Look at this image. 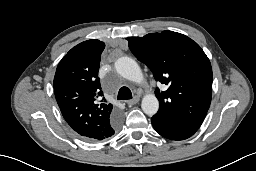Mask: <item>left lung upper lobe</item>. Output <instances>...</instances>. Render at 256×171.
I'll list each match as a JSON object with an SVG mask.
<instances>
[{
	"label": "left lung upper lobe",
	"instance_id": "obj_1",
	"mask_svg": "<svg viewBox=\"0 0 256 171\" xmlns=\"http://www.w3.org/2000/svg\"><path fill=\"white\" fill-rule=\"evenodd\" d=\"M127 40L135 57L167 86L165 91L156 88L160 107L155 115L172 117L184 130L195 133L212 96V68L204 51L186 35L173 31Z\"/></svg>",
	"mask_w": 256,
	"mask_h": 171
}]
</instances>
